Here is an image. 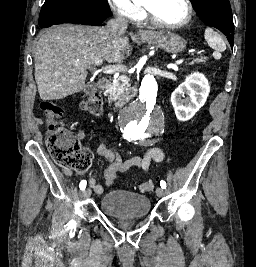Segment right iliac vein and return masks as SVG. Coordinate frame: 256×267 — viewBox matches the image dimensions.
Here are the masks:
<instances>
[{"mask_svg":"<svg viewBox=\"0 0 256 267\" xmlns=\"http://www.w3.org/2000/svg\"><path fill=\"white\" fill-rule=\"evenodd\" d=\"M82 195L84 198H89L91 196V189L90 188L84 189Z\"/></svg>","mask_w":256,"mask_h":267,"instance_id":"63e3f726","label":"right iliac vein"}]
</instances>
